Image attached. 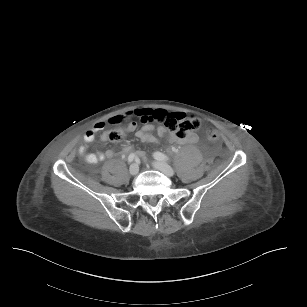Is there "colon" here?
<instances>
[{
	"mask_svg": "<svg viewBox=\"0 0 307 307\" xmlns=\"http://www.w3.org/2000/svg\"><path fill=\"white\" fill-rule=\"evenodd\" d=\"M152 120L158 124L167 127L169 130L176 132L180 136L188 135L200 129L201 124L197 118L187 116L183 113L175 112H159L155 116H151ZM113 122H111L112 124ZM111 125L100 124L99 130L103 131L104 137L111 142H120L123 140L126 132L132 130V125L125 128L113 127ZM206 135L210 143L216 144L219 140L217 131L208 126L206 128Z\"/></svg>",
	"mask_w": 307,
	"mask_h": 307,
	"instance_id": "1",
	"label": "colon"
}]
</instances>
